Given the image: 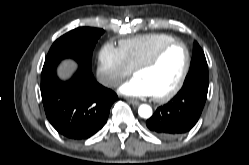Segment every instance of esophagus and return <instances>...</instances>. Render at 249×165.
Returning a JSON list of instances; mask_svg holds the SVG:
<instances>
[{"mask_svg":"<svg viewBox=\"0 0 249 165\" xmlns=\"http://www.w3.org/2000/svg\"><path fill=\"white\" fill-rule=\"evenodd\" d=\"M127 101L132 104V105H139V101L132 99V98H127Z\"/></svg>","mask_w":249,"mask_h":165,"instance_id":"obj_1","label":"esophagus"}]
</instances>
